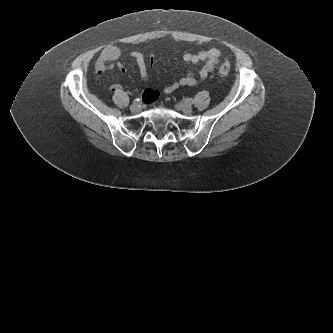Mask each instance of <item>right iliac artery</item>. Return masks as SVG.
<instances>
[{
    "label": "right iliac artery",
    "mask_w": 333,
    "mask_h": 333,
    "mask_svg": "<svg viewBox=\"0 0 333 333\" xmlns=\"http://www.w3.org/2000/svg\"><path fill=\"white\" fill-rule=\"evenodd\" d=\"M134 102L140 103V99L137 98V99L134 100Z\"/></svg>",
    "instance_id": "obj_1"
}]
</instances>
